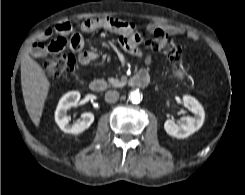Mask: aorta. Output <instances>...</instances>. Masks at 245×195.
<instances>
[{
    "label": "aorta",
    "mask_w": 245,
    "mask_h": 195,
    "mask_svg": "<svg viewBox=\"0 0 245 195\" xmlns=\"http://www.w3.org/2000/svg\"><path fill=\"white\" fill-rule=\"evenodd\" d=\"M129 99L132 103H139L140 102V93L139 91L135 90V91H132L129 95Z\"/></svg>",
    "instance_id": "obj_1"
}]
</instances>
